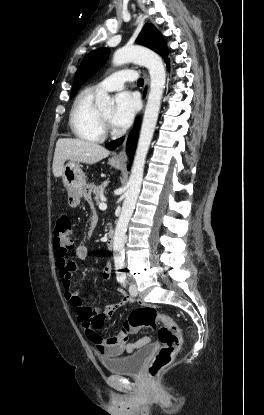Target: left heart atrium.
<instances>
[{"label":"left heart atrium","mask_w":264,"mask_h":415,"mask_svg":"<svg viewBox=\"0 0 264 415\" xmlns=\"http://www.w3.org/2000/svg\"><path fill=\"white\" fill-rule=\"evenodd\" d=\"M137 111L136 97L127 91L117 94L111 122L116 128L127 127Z\"/></svg>","instance_id":"obj_1"}]
</instances>
